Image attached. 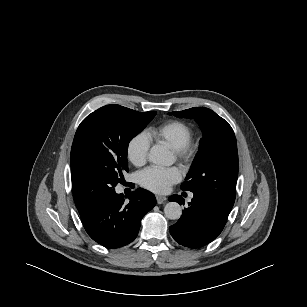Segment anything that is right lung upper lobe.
Segmentation results:
<instances>
[{"label":"right lung upper lobe","mask_w":307,"mask_h":307,"mask_svg":"<svg viewBox=\"0 0 307 307\" xmlns=\"http://www.w3.org/2000/svg\"><path fill=\"white\" fill-rule=\"evenodd\" d=\"M78 209V208H77ZM87 208H79L78 211H79V214L83 213Z\"/></svg>","instance_id":"cb5924a9"}]
</instances>
